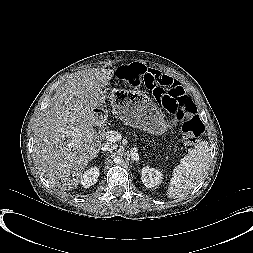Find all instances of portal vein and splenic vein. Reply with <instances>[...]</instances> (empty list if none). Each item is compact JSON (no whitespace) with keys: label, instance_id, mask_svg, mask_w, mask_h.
Returning <instances> with one entry per match:
<instances>
[{"label":"portal vein and splenic vein","instance_id":"portal-vein-and-splenic-vein-1","mask_svg":"<svg viewBox=\"0 0 253 253\" xmlns=\"http://www.w3.org/2000/svg\"><path fill=\"white\" fill-rule=\"evenodd\" d=\"M106 139L111 142H117L121 140V134L117 131H108L106 133Z\"/></svg>","mask_w":253,"mask_h":253}]
</instances>
